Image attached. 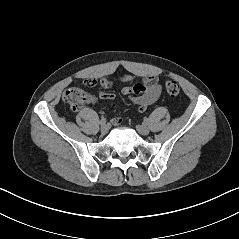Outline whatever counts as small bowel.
<instances>
[{"mask_svg": "<svg viewBox=\"0 0 239 239\" xmlns=\"http://www.w3.org/2000/svg\"><path fill=\"white\" fill-rule=\"evenodd\" d=\"M133 80L134 76L130 74L119 77V81L124 84L132 82ZM91 81L96 84V80L93 78L86 79L84 84L88 85ZM99 83L104 90H108L112 86V82L107 78L100 79ZM121 92L123 95L127 96L132 103L137 105L138 113H144L147 108L159 98L162 92V85L157 76L148 75L140 83L123 87ZM99 98L103 100H113L115 94L108 91H101L99 93ZM89 101H93V97L89 96ZM112 121L114 125H119L122 119L121 117H114Z\"/></svg>", "mask_w": 239, "mask_h": 239, "instance_id": "c3829d8e", "label": "small bowel"}]
</instances>
